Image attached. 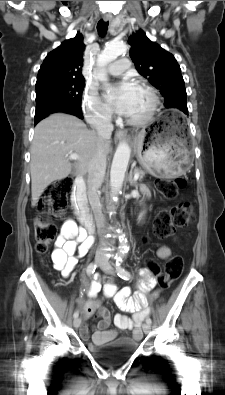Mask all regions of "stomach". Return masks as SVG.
Listing matches in <instances>:
<instances>
[{
    "mask_svg": "<svg viewBox=\"0 0 225 395\" xmlns=\"http://www.w3.org/2000/svg\"><path fill=\"white\" fill-rule=\"evenodd\" d=\"M139 163L154 175L174 178L184 174L191 162L188 139L172 112H162L135 137Z\"/></svg>",
    "mask_w": 225,
    "mask_h": 395,
    "instance_id": "1",
    "label": "stomach"
}]
</instances>
